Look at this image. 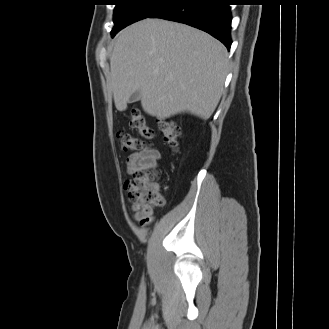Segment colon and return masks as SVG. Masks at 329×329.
<instances>
[{"mask_svg": "<svg viewBox=\"0 0 329 329\" xmlns=\"http://www.w3.org/2000/svg\"><path fill=\"white\" fill-rule=\"evenodd\" d=\"M128 120L130 125L139 131L145 141H150L153 138V129L148 126L145 118L138 109L131 110ZM159 130L164 142L172 149L177 150L180 140L179 126L170 119H162L159 122ZM118 139L124 150L140 151L146 145L144 140L126 132H120ZM155 178V172L140 170L134 172L124 185L129 199L140 205L146 212L163 205L162 197L154 184Z\"/></svg>", "mask_w": 329, "mask_h": 329, "instance_id": "5ec220e1", "label": "colon"}]
</instances>
